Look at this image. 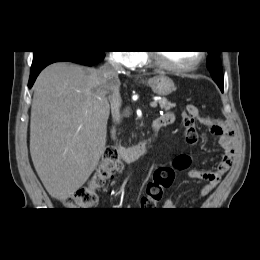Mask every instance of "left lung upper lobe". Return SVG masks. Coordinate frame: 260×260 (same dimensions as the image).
<instances>
[{
	"instance_id": "obj_1",
	"label": "left lung upper lobe",
	"mask_w": 260,
	"mask_h": 260,
	"mask_svg": "<svg viewBox=\"0 0 260 260\" xmlns=\"http://www.w3.org/2000/svg\"><path fill=\"white\" fill-rule=\"evenodd\" d=\"M220 51H208L209 56L207 59V67L211 73L213 80H224L223 78V70L219 57Z\"/></svg>"
}]
</instances>
